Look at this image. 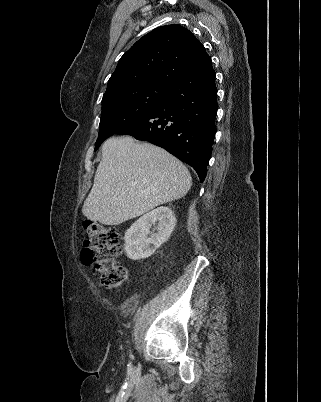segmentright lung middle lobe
<instances>
[{"label":"right lung middle lobe","instance_id":"obj_1","mask_svg":"<svg viewBox=\"0 0 321 402\" xmlns=\"http://www.w3.org/2000/svg\"><path fill=\"white\" fill-rule=\"evenodd\" d=\"M168 86L148 84L121 90L102 99V114L95 151L108 137L140 119L167 97Z\"/></svg>","mask_w":321,"mask_h":402}]
</instances>
